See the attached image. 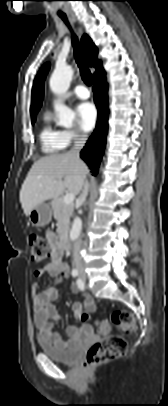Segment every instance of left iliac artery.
<instances>
[{
    "mask_svg": "<svg viewBox=\"0 0 168 406\" xmlns=\"http://www.w3.org/2000/svg\"><path fill=\"white\" fill-rule=\"evenodd\" d=\"M77 285L79 287L80 290H84V283L81 279L77 280Z\"/></svg>",
    "mask_w": 168,
    "mask_h": 406,
    "instance_id": "obj_1",
    "label": "left iliac artery"
}]
</instances>
